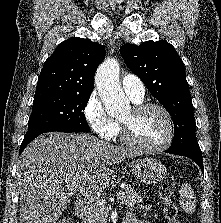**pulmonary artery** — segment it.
I'll return each instance as SVG.
<instances>
[{
    "label": "pulmonary artery",
    "instance_id": "obj_1",
    "mask_svg": "<svg viewBox=\"0 0 221 223\" xmlns=\"http://www.w3.org/2000/svg\"><path fill=\"white\" fill-rule=\"evenodd\" d=\"M125 93L135 102L142 101L145 96V87L140 78L127 74L121 80Z\"/></svg>",
    "mask_w": 221,
    "mask_h": 223
}]
</instances>
